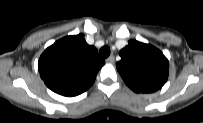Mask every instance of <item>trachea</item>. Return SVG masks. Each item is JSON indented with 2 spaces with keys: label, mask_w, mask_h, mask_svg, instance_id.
<instances>
[{
  "label": "trachea",
  "mask_w": 203,
  "mask_h": 123,
  "mask_svg": "<svg viewBox=\"0 0 203 123\" xmlns=\"http://www.w3.org/2000/svg\"><path fill=\"white\" fill-rule=\"evenodd\" d=\"M99 55L101 58H107L110 55V48L107 46L102 47L99 50Z\"/></svg>",
  "instance_id": "1"
}]
</instances>
